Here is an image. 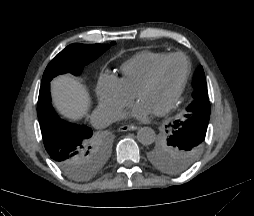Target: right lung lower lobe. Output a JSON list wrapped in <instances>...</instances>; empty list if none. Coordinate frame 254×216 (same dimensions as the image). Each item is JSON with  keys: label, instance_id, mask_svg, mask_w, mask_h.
Wrapping results in <instances>:
<instances>
[{"label": "right lung lower lobe", "instance_id": "98d812e1", "mask_svg": "<svg viewBox=\"0 0 254 216\" xmlns=\"http://www.w3.org/2000/svg\"><path fill=\"white\" fill-rule=\"evenodd\" d=\"M37 115L45 149L58 167L74 175L71 167L78 163L81 173L91 178L97 172L92 160L96 136L91 128L66 122L57 115L51 105L50 83L41 84Z\"/></svg>", "mask_w": 254, "mask_h": 216}]
</instances>
